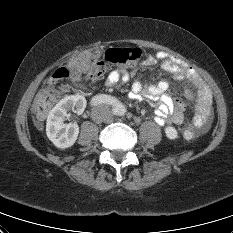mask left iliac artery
<instances>
[{"label":"left iliac artery","mask_w":233,"mask_h":233,"mask_svg":"<svg viewBox=\"0 0 233 233\" xmlns=\"http://www.w3.org/2000/svg\"><path fill=\"white\" fill-rule=\"evenodd\" d=\"M113 114L121 116L125 113V108L119 102L116 103L115 107L112 109Z\"/></svg>","instance_id":"1"}]
</instances>
